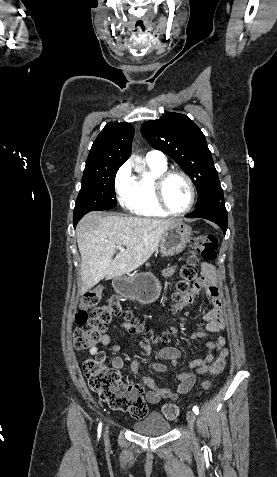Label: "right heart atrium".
<instances>
[{
    "label": "right heart atrium",
    "mask_w": 277,
    "mask_h": 477,
    "mask_svg": "<svg viewBox=\"0 0 277 477\" xmlns=\"http://www.w3.org/2000/svg\"><path fill=\"white\" fill-rule=\"evenodd\" d=\"M133 179L131 168L128 163L123 164L115 175V189L119 201L124 205H126L131 195Z\"/></svg>",
    "instance_id": "obj_1"
}]
</instances>
